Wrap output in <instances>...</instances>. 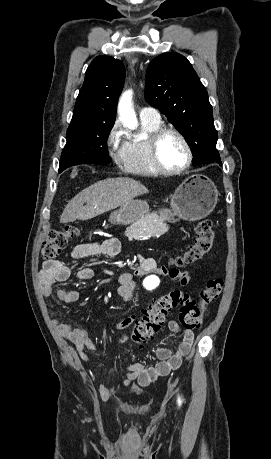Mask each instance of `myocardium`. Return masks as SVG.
I'll return each instance as SVG.
<instances>
[{"instance_id":"1","label":"myocardium","mask_w":271,"mask_h":459,"mask_svg":"<svg viewBox=\"0 0 271 459\" xmlns=\"http://www.w3.org/2000/svg\"><path fill=\"white\" fill-rule=\"evenodd\" d=\"M169 133H173L178 135L183 142L186 145L187 151H188V159L186 163L180 167H169L167 166L161 157L160 154V143L162 138ZM150 151H151V158L155 166L163 173L166 174H180L188 170L195 158L194 150L192 147V144L189 140V138L186 136V134L181 131L177 127L173 126H164V127H159L150 137Z\"/></svg>"}]
</instances>
